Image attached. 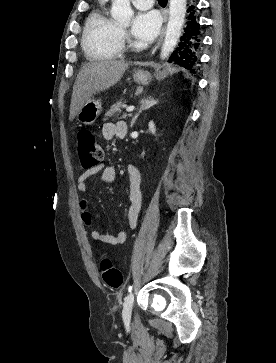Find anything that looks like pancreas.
Returning <instances> with one entry per match:
<instances>
[{
  "instance_id": "cf45deb5",
  "label": "pancreas",
  "mask_w": 276,
  "mask_h": 363,
  "mask_svg": "<svg viewBox=\"0 0 276 363\" xmlns=\"http://www.w3.org/2000/svg\"><path fill=\"white\" fill-rule=\"evenodd\" d=\"M125 107V105L122 103V102H117V103H115V104H113L112 106H111V109L105 114V120L107 119V118H110V117H112L115 113H121V109L122 108H124ZM127 116H130V114H126V113H123L122 114V118H124V119H126L127 118Z\"/></svg>"
}]
</instances>
